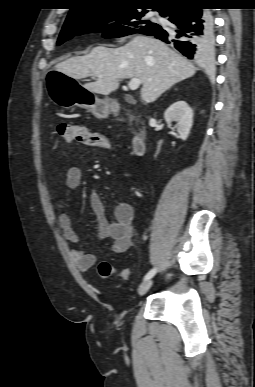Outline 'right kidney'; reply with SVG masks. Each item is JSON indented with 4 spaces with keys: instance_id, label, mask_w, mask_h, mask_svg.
Here are the masks:
<instances>
[{
    "instance_id": "1",
    "label": "right kidney",
    "mask_w": 255,
    "mask_h": 387,
    "mask_svg": "<svg viewBox=\"0 0 255 387\" xmlns=\"http://www.w3.org/2000/svg\"><path fill=\"white\" fill-rule=\"evenodd\" d=\"M168 124L176 122L175 128L182 140H186L193 124V110L185 101H176L164 113Z\"/></svg>"
}]
</instances>
